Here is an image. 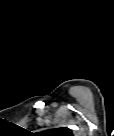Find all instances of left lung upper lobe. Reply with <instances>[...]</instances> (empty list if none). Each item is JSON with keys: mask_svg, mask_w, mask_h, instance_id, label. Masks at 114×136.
Instances as JSON below:
<instances>
[{"mask_svg": "<svg viewBox=\"0 0 114 136\" xmlns=\"http://www.w3.org/2000/svg\"><path fill=\"white\" fill-rule=\"evenodd\" d=\"M48 136H73L72 131L66 127L45 131Z\"/></svg>", "mask_w": 114, "mask_h": 136, "instance_id": "left-lung-upper-lobe-1", "label": "left lung upper lobe"}]
</instances>
